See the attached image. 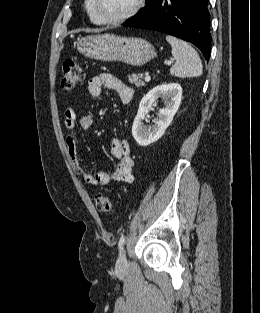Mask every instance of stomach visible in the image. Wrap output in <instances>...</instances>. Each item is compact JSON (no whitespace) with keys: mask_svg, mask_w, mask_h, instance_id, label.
<instances>
[{"mask_svg":"<svg viewBox=\"0 0 260 313\" xmlns=\"http://www.w3.org/2000/svg\"><path fill=\"white\" fill-rule=\"evenodd\" d=\"M77 50L84 56L101 61H121L142 66L155 55L154 46L138 37H121L114 34L88 35L77 41Z\"/></svg>","mask_w":260,"mask_h":313,"instance_id":"obj_1","label":"stomach"}]
</instances>
